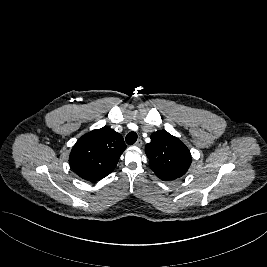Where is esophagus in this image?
<instances>
[{"label":"esophagus","mask_w":267,"mask_h":267,"mask_svg":"<svg viewBox=\"0 0 267 267\" xmlns=\"http://www.w3.org/2000/svg\"><path fill=\"white\" fill-rule=\"evenodd\" d=\"M142 144H143V141H142L141 139H138V140L136 141V143H135V146H137V147H141Z\"/></svg>","instance_id":"esophagus-1"}]
</instances>
